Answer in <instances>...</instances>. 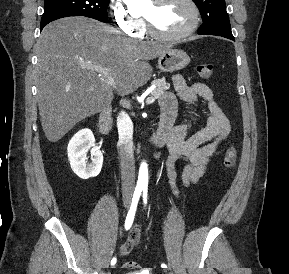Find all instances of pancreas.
<instances>
[{"instance_id": "1", "label": "pancreas", "mask_w": 289, "mask_h": 274, "mask_svg": "<svg viewBox=\"0 0 289 274\" xmlns=\"http://www.w3.org/2000/svg\"><path fill=\"white\" fill-rule=\"evenodd\" d=\"M156 87L151 92V95L155 98H160L167 90L170 89V85L166 83L165 78L156 79L152 82Z\"/></svg>"}]
</instances>
